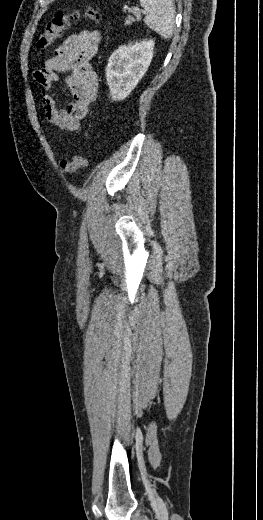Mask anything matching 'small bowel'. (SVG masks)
<instances>
[{
  "instance_id": "1",
  "label": "small bowel",
  "mask_w": 263,
  "mask_h": 520,
  "mask_svg": "<svg viewBox=\"0 0 263 520\" xmlns=\"http://www.w3.org/2000/svg\"><path fill=\"white\" fill-rule=\"evenodd\" d=\"M101 42L98 30H83L68 36L55 50L42 69L35 72L36 81L46 91L42 107L46 119L64 131L78 132L89 106L96 99L98 78L91 65ZM68 72L66 84L72 101L61 109L53 95L59 73Z\"/></svg>"
}]
</instances>
